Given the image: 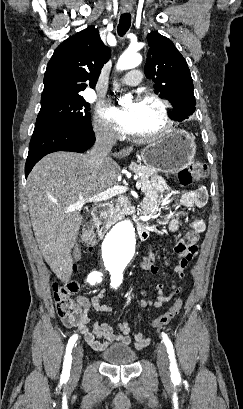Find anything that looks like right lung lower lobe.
I'll return each mask as SVG.
<instances>
[{"instance_id":"1","label":"right lung lower lobe","mask_w":243,"mask_h":409,"mask_svg":"<svg viewBox=\"0 0 243 409\" xmlns=\"http://www.w3.org/2000/svg\"><path fill=\"white\" fill-rule=\"evenodd\" d=\"M94 141L92 127L70 129L48 123L36 124L25 164L26 177L43 156L56 151L83 153L94 144Z\"/></svg>"}]
</instances>
